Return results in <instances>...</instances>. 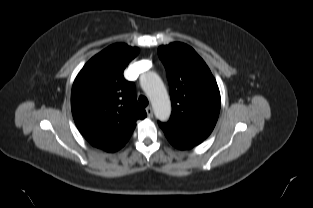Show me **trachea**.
<instances>
[{"mask_svg":"<svg viewBox=\"0 0 313 208\" xmlns=\"http://www.w3.org/2000/svg\"><path fill=\"white\" fill-rule=\"evenodd\" d=\"M139 103H140V105H141L142 107H146L149 102H148V99H147L145 96L141 95V96L139 97Z\"/></svg>","mask_w":313,"mask_h":208,"instance_id":"obj_1","label":"trachea"}]
</instances>
